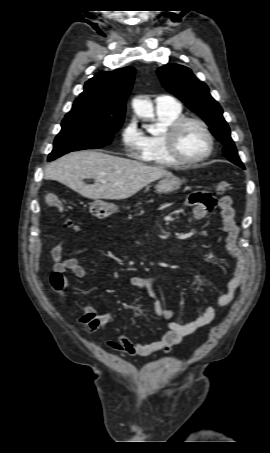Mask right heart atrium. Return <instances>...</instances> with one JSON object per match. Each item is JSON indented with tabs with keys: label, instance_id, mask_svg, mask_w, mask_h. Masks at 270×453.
Listing matches in <instances>:
<instances>
[{
	"label": "right heart atrium",
	"instance_id": "obj_1",
	"mask_svg": "<svg viewBox=\"0 0 270 453\" xmlns=\"http://www.w3.org/2000/svg\"><path fill=\"white\" fill-rule=\"evenodd\" d=\"M121 141L128 156H139L145 144V134L138 126L135 118L129 119L123 127Z\"/></svg>",
	"mask_w": 270,
	"mask_h": 453
}]
</instances>
